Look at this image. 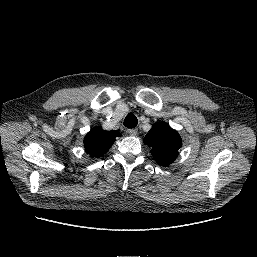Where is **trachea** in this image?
<instances>
[{"label":"trachea","instance_id":"1","mask_svg":"<svg viewBox=\"0 0 257 257\" xmlns=\"http://www.w3.org/2000/svg\"><path fill=\"white\" fill-rule=\"evenodd\" d=\"M137 123H138L137 117L134 114L129 113L126 116L123 124L127 128H134L137 126Z\"/></svg>","mask_w":257,"mask_h":257}]
</instances>
